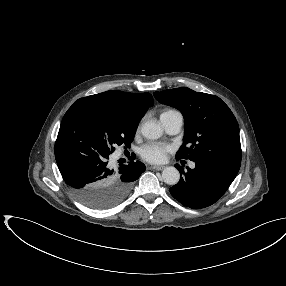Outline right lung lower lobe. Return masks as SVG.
I'll list each match as a JSON object with an SVG mask.
<instances>
[{"label": "right lung lower lobe", "mask_w": 286, "mask_h": 286, "mask_svg": "<svg viewBox=\"0 0 286 286\" xmlns=\"http://www.w3.org/2000/svg\"><path fill=\"white\" fill-rule=\"evenodd\" d=\"M109 155L61 123L55 143L59 171L75 197L95 209H107L124 200L145 171L143 163L133 161L134 155L129 164L111 169Z\"/></svg>", "instance_id": "obj_1"}]
</instances>
